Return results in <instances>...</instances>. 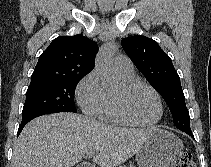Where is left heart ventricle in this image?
<instances>
[{"instance_id":"left-heart-ventricle-1","label":"left heart ventricle","mask_w":211,"mask_h":167,"mask_svg":"<svg viewBox=\"0 0 211 167\" xmlns=\"http://www.w3.org/2000/svg\"><path fill=\"white\" fill-rule=\"evenodd\" d=\"M114 96L119 98L126 111L140 122H152L159 115V106L156 97L146 88L126 91L124 86H122Z\"/></svg>"}]
</instances>
